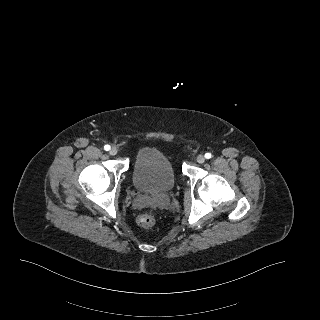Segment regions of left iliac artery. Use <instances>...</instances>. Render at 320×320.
Masks as SVG:
<instances>
[{
  "label": "left iliac artery",
  "mask_w": 320,
  "mask_h": 320,
  "mask_svg": "<svg viewBox=\"0 0 320 320\" xmlns=\"http://www.w3.org/2000/svg\"><path fill=\"white\" fill-rule=\"evenodd\" d=\"M211 157H212L211 153H206V154H205V158H206V159H210Z\"/></svg>",
  "instance_id": "obj_1"
}]
</instances>
